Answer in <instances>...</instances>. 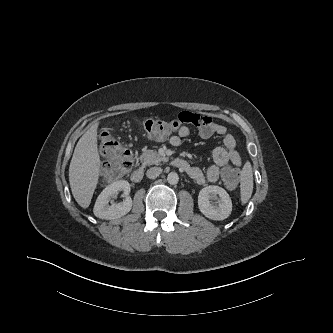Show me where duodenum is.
I'll return each instance as SVG.
<instances>
[{"instance_id": "obj_1", "label": "duodenum", "mask_w": 333, "mask_h": 333, "mask_svg": "<svg viewBox=\"0 0 333 333\" xmlns=\"http://www.w3.org/2000/svg\"><path fill=\"white\" fill-rule=\"evenodd\" d=\"M172 164L182 170H187L189 168L188 162L182 158H174L172 160ZM143 175L144 169L142 167H139L131 173L130 178L133 182L138 183L143 179Z\"/></svg>"}]
</instances>
